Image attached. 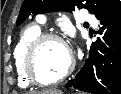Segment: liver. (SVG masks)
<instances>
[{
  "mask_svg": "<svg viewBox=\"0 0 121 94\" xmlns=\"http://www.w3.org/2000/svg\"><path fill=\"white\" fill-rule=\"evenodd\" d=\"M34 94H62V92L56 91V90H46V91L38 92V93H34Z\"/></svg>",
  "mask_w": 121,
  "mask_h": 94,
  "instance_id": "liver-1",
  "label": "liver"
}]
</instances>
